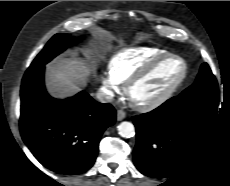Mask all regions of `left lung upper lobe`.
I'll return each instance as SVG.
<instances>
[{
  "mask_svg": "<svg viewBox=\"0 0 230 186\" xmlns=\"http://www.w3.org/2000/svg\"><path fill=\"white\" fill-rule=\"evenodd\" d=\"M207 90H218V85L215 76L212 74L209 66L207 63H204L201 66L200 73L198 74L194 84L184 90L180 95Z\"/></svg>",
  "mask_w": 230,
  "mask_h": 186,
  "instance_id": "obj_1",
  "label": "left lung upper lobe"
}]
</instances>
